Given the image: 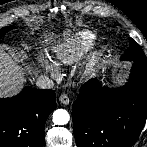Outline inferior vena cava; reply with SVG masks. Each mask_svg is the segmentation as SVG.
I'll return each mask as SVG.
<instances>
[{"label": "inferior vena cava", "mask_w": 147, "mask_h": 147, "mask_svg": "<svg viewBox=\"0 0 147 147\" xmlns=\"http://www.w3.org/2000/svg\"><path fill=\"white\" fill-rule=\"evenodd\" d=\"M36 86L41 89H51L54 86V82L49 77L41 75L36 81Z\"/></svg>", "instance_id": "1"}]
</instances>
